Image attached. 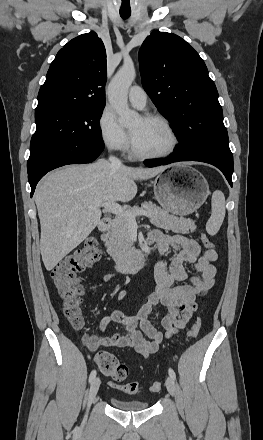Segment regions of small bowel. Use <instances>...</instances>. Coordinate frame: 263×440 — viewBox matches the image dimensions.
Here are the masks:
<instances>
[{
	"label": "small bowel",
	"instance_id": "1",
	"mask_svg": "<svg viewBox=\"0 0 263 440\" xmlns=\"http://www.w3.org/2000/svg\"><path fill=\"white\" fill-rule=\"evenodd\" d=\"M148 239L157 245L162 256L154 269L155 291L136 315L114 310L103 317L100 331L104 332L112 322L120 324L122 331L113 336L93 337L88 343L91 350L128 347L143 357L150 356L163 340L172 337L190 322L197 310L196 300L213 287L217 272L213 265L217 259L214 249L201 252L195 240L179 234H163L159 230L151 231ZM171 251L173 256L167 261L165 257ZM185 264H190L198 274H189ZM114 278L115 273H106L102 281L110 282ZM124 296L125 292L121 291L117 298L122 300ZM159 304L168 309L161 321L165 333L158 331L149 320L153 308Z\"/></svg>",
	"mask_w": 263,
	"mask_h": 440
}]
</instances>
